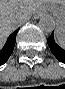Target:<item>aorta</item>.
Segmentation results:
<instances>
[{
	"label": "aorta",
	"mask_w": 65,
	"mask_h": 89,
	"mask_svg": "<svg viewBox=\"0 0 65 89\" xmlns=\"http://www.w3.org/2000/svg\"><path fill=\"white\" fill-rule=\"evenodd\" d=\"M55 20L54 18L47 13H43L39 18V26L44 32H52L55 29Z\"/></svg>",
	"instance_id": "aorta-1"
}]
</instances>
